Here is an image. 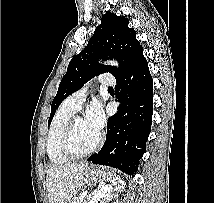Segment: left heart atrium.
Instances as JSON below:
<instances>
[{
  "label": "left heart atrium",
  "instance_id": "39dd6f15",
  "mask_svg": "<svg viewBox=\"0 0 214 203\" xmlns=\"http://www.w3.org/2000/svg\"><path fill=\"white\" fill-rule=\"evenodd\" d=\"M87 123L100 132L103 128L105 117L101 104L98 101H94L87 110L86 117Z\"/></svg>",
  "mask_w": 214,
  "mask_h": 203
}]
</instances>
